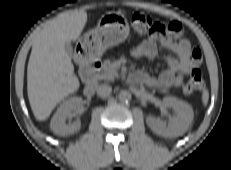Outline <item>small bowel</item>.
<instances>
[{"mask_svg": "<svg viewBox=\"0 0 231 170\" xmlns=\"http://www.w3.org/2000/svg\"><path fill=\"white\" fill-rule=\"evenodd\" d=\"M166 35L162 38H149L137 45L132 50V55L137 59L155 58L158 54V46L169 49L175 57H167V67L157 77H153L143 70L134 73L133 79L149 87L167 89L179 87L184 76L191 73L201 62V51L193 48L190 42L182 37V25L178 21H172L166 25Z\"/></svg>", "mask_w": 231, "mask_h": 170, "instance_id": "obj_1", "label": "small bowel"}]
</instances>
